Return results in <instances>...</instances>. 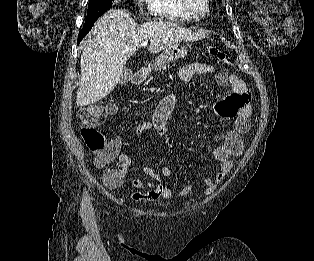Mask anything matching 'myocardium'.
Wrapping results in <instances>:
<instances>
[{"label": "myocardium", "mask_w": 314, "mask_h": 261, "mask_svg": "<svg viewBox=\"0 0 314 261\" xmlns=\"http://www.w3.org/2000/svg\"><path fill=\"white\" fill-rule=\"evenodd\" d=\"M183 7L195 17L205 15L210 9V0H204V8L198 10L193 6L192 0H181Z\"/></svg>", "instance_id": "obj_1"}]
</instances>
